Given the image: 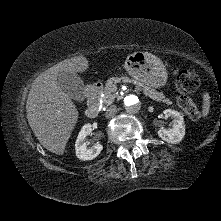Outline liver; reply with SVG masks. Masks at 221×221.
<instances>
[{
  "label": "liver",
  "instance_id": "1",
  "mask_svg": "<svg viewBox=\"0 0 221 221\" xmlns=\"http://www.w3.org/2000/svg\"><path fill=\"white\" fill-rule=\"evenodd\" d=\"M89 67L84 56L57 63L39 75L29 91L26 112L28 123L41 145L62 155L78 120V110L57 83L61 72L82 73Z\"/></svg>",
  "mask_w": 221,
  "mask_h": 221
}]
</instances>
